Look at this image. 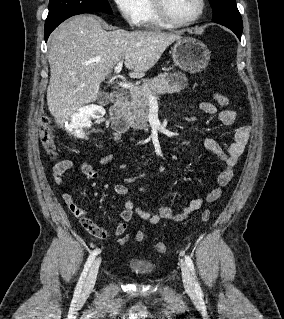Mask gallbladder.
I'll list each match as a JSON object with an SVG mask.
<instances>
[{
  "label": "gallbladder",
  "mask_w": 284,
  "mask_h": 319,
  "mask_svg": "<svg viewBox=\"0 0 284 319\" xmlns=\"http://www.w3.org/2000/svg\"><path fill=\"white\" fill-rule=\"evenodd\" d=\"M97 102L100 105L107 104L109 102V94L106 92H100L97 96Z\"/></svg>",
  "instance_id": "bac80fb5"
}]
</instances>
